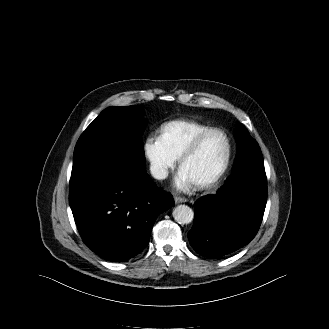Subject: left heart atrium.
<instances>
[{"label": "left heart atrium", "instance_id": "1", "mask_svg": "<svg viewBox=\"0 0 329 329\" xmlns=\"http://www.w3.org/2000/svg\"><path fill=\"white\" fill-rule=\"evenodd\" d=\"M175 186L179 190L189 191L195 187V183L182 170H180L175 179Z\"/></svg>", "mask_w": 329, "mask_h": 329}]
</instances>
